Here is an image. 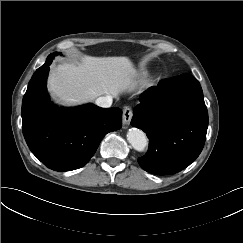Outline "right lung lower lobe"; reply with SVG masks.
I'll return each mask as SVG.
<instances>
[{"mask_svg": "<svg viewBox=\"0 0 243 243\" xmlns=\"http://www.w3.org/2000/svg\"><path fill=\"white\" fill-rule=\"evenodd\" d=\"M51 62L48 56L28 84L22 102V129L30 150L44 165L71 171L88 163L107 133L121 128L122 111L93 104L54 106L46 90Z\"/></svg>", "mask_w": 243, "mask_h": 243, "instance_id": "obj_1", "label": "right lung lower lobe"}]
</instances>
